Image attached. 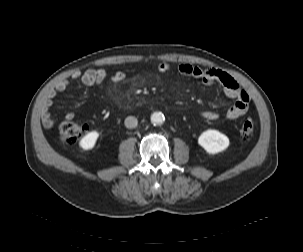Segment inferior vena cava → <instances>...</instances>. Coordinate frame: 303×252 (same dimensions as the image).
<instances>
[{
    "mask_svg": "<svg viewBox=\"0 0 303 252\" xmlns=\"http://www.w3.org/2000/svg\"><path fill=\"white\" fill-rule=\"evenodd\" d=\"M137 124H138L137 118L134 116H128L125 119V126L127 128H135L137 126Z\"/></svg>",
    "mask_w": 303,
    "mask_h": 252,
    "instance_id": "obj_1",
    "label": "inferior vena cava"
}]
</instances>
